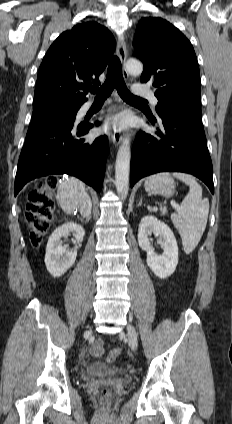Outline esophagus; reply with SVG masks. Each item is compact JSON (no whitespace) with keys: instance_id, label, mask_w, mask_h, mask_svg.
<instances>
[{"instance_id":"esophagus-1","label":"esophagus","mask_w":232,"mask_h":424,"mask_svg":"<svg viewBox=\"0 0 232 424\" xmlns=\"http://www.w3.org/2000/svg\"><path fill=\"white\" fill-rule=\"evenodd\" d=\"M117 54L122 64L123 76L126 80L129 79V74L125 69V63L127 59V48L126 43L122 38L117 40ZM111 140L115 145H119L122 140V135L119 131L113 132L110 134Z\"/></svg>"}]
</instances>
